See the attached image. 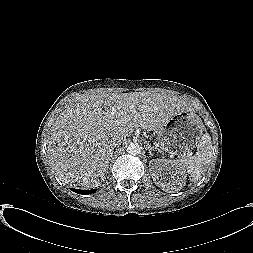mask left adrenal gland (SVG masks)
Masks as SVG:
<instances>
[{
	"label": "left adrenal gland",
	"instance_id": "obj_1",
	"mask_svg": "<svg viewBox=\"0 0 253 253\" xmlns=\"http://www.w3.org/2000/svg\"><path fill=\"white\" fill-rule=\"evenodd\" d=\"M148 150H149V153L151 154L152 151H154L153 147H151V145H148Z\"/></svg>",
	"mask_w": 253,
	"mask_h": 253
}]
</instances>
